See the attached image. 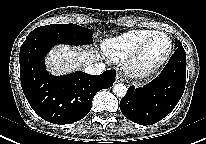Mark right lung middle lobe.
Masks as SVG:
<instances>
[{
    "label": "right lung middle lobe",
    "instance_id": "obj_1",
    "mask_svg": "<svg viewBox=\"0 0 206 144\" xmlns=\"http://www.w3.org/2000/svg\"><path fill=\"white\" fill-rule=\"evenodd\" d=\"M92 30L78 26L76 24H50L34 29L28 37L46 36L74 44H91Z\"/></svg>",
    "mask_w": 206,
    "mask_h": 144
}]
</instances>
